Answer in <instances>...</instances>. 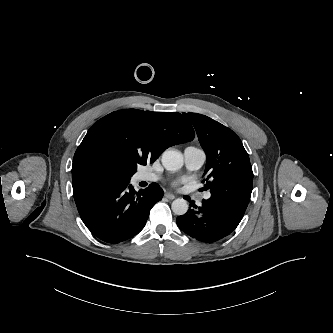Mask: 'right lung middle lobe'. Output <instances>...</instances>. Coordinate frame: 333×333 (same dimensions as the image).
<instances>
[{
	"label": "right lung middle lobe",
	"instance_id": "obj_1",
	"mask_svg": "<svg viewBox=\"0 0 333 333\" xmlns=\"http://www.w3.org/2000/svg\"><path fill=\"white\" fill-rule=\"evenodd\" d=\"M99 175L103 176V177H106L108 179H113L114 178L112 172L108 169H101L100 172H99Z\"/></svg>",
	"mask_w": 333,
	"mask_h": 333
}]
</instances>
